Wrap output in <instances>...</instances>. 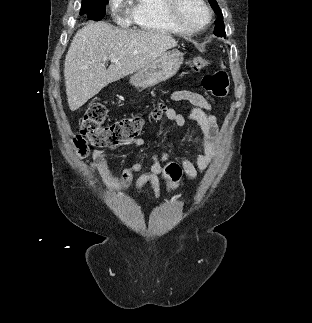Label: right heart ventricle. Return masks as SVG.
Listing matches in <instances>:
<instances>
[{
    "mask_svg": "<svg viewBox=\"0 0 312 323\" xmlns=\"http://www.w3.org/2000/svg\"><path fill=\"white\" fill-rule=\"evenodd\" d=\"M132 5L129 19L133 20L135 29H168L169 33H178L186 29V22H176L172 7L164 0H136Z\"/></svg>",
    "mask_w": 312,
    "mask_h": 323,
    "instance_id": "e07e8e85",
    "label": "right heart ventricle"
}]
</instances>
